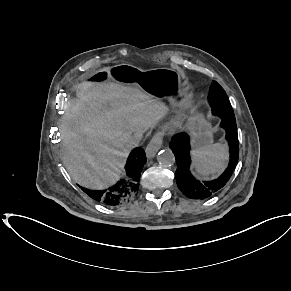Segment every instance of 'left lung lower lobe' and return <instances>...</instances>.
I'll use <instances>...</instances> for the list:
<instances>
[{"label": "left lung lower lobe", "instance_id": "obj_1", "mask_svg": "<svg viewBox=\"0 0 291 291\" xmlns=\"http://www.w3.org/2000/svg\"><path fill=\"white\" fill-rule=\"evenodd\" d=\"M217 103V102H216ZM218 104V103H217ZM226 131V140L230 149V161L224 173L212 181H200L190 172V141L186 133L176 135L170 143L177 163L176 182L179 190L190 199H207L219 192L229 181L239 157V142L235 116L231 111H218ZM231 117V118H230Z\"/></svg>", "mask_w": 291, "mask_h": 291}]
</instances>
